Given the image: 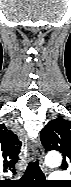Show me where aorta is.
<instances>
[{
    "mask_svg": "<svg viewBox=\"0 0 71 187\" xmlns=\"http://www.w3.org/2000/svg\"><path fill=\"white\" fill-rule=\"evenodd\" d=\"M45 162L49 166L56 167L61 164L62 157L58 152H50L47 154Z\"/></svg>",
    "mask_w": 71,
    "mask_h": 187,
    "instance_id": "1",
    "label": "aorta"
}]
</instances>
